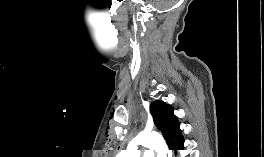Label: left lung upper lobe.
I'll return each mask as SVG.
<instances>
[{
	"label": "left lung upper lobe",
	"mask_w": 264,
	"mask_h": 157,
	"mask_svg": "<svg viewBox=\"0 0 264 157\" xmlns=\"http://www.w3.org/2000/svg\"><path fill=\"white\" fill-rule=\"evenodd\" d=\"M173 106L158 100L150 105V113L158 130H160L165 138L169 149L174 148L183 140L180 124L173 112Z\"/></svg>",
	"instance_id": "left-lung-upper-lobe-1"
}]
</instances>
